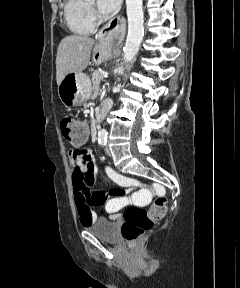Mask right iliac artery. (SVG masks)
I'll list each match as a JSON object with an SVG mask.
<instances>
[{"label":"right iliac artery","mask_w":240,"mask_h":288,"mask_svg":"<svg viewBox=\"0 0 240 288\" xmlns=\"http://www.w3.org/2000/svg\"><path fill=\"white\" fill-rule=\"evenodd\" d=\"M99 144H101V145L103 146V145H104V142L101 141V142H99Z\"/></svg>","instance_id":"1"}]
</instances>
